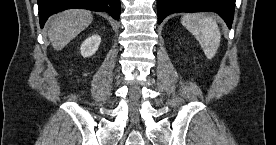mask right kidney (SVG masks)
Wrapping results in <instances>:
<instances>
[{
    "mask_svg": "<svg viewBox=\"0 0 276 145\" xmlns=\"http://www.w3.org/2000/svg\"><path fill=\"white\" fill-rule=\"evenodd\" d=\"M101 43L99 35H92L88 37L81 45L80 52L83 57H91L96 53Z\"/></svg>",
    "mask_w": 276,
    "mask_h": 145,
    "instance_id": "right-kidney-1",
    "label": "right kidney"
}]
</instances>
